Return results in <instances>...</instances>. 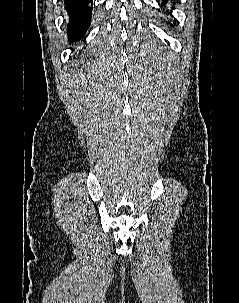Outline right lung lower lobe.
<instances>
[{
    "label": "right lung lower lobe",
    "mask_w": 239,
    "mask_h": 303,
    "mask_svg": "<svg viewBox=\"0 0 239 303\" xmlns=\"http://www.w3.org/2000/svg\"><path fill=\"white\" fill-rule=\"evenodd\" d=\"M65 8L69 14L68 37L70 41L82 38L90 25L92 0H64Z\"/></svg>",
    "instance_id": "obj_1"
}]
</instances>
